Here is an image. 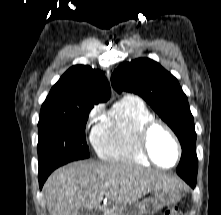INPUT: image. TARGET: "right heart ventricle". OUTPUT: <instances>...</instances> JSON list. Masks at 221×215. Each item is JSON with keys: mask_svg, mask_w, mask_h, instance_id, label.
<instances>
[{"mask_svg": "<svg viewBox=\"0 0 221 215\" xmlns=\"http://www.w3.org/2000/svg\"><path fill=\"white\" fill-rule=\"evenodd\" d=\"M154 115L137 96L120 99L101 118L92 133V144L105 160L149 166L138 147L137 136L141 127Z\"/></svg>", "mask_w": 221, "mask_h": 215, "instance_id": "right-heart-ventricle-1", "label": "right heart ventricle"}]
</instances>
